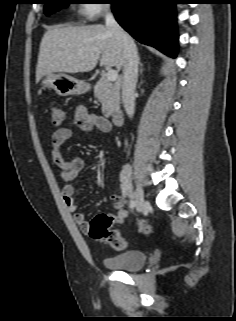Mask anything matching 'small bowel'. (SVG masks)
I'll list each match as a JSON object with an SVG mask.
<instances>
[{
    "label": "small bowel",
    "mask_w": 236,
    "mask_h": 321,
    "mask_svg": "<svg viewBox=\"0 0 236 321\" xmlns=\"http://www.w3.org/2000/svg\"><path fill=\"white\" fill-rule=\"evenodd\" d=\"M77 125L83 130L89 131L94 128L102 132L108 133L112 129L111 123L104 117L88 112L86 109L80 107L75 114ZM73 135L71 126H63L57 129L51 138L52 142V159L56 166L61 171V177L65 181L62 187V197L67 210L74 214L75 223L81 228L82 231L87 232L89 222L86 220L84 214L77 211L76 189L71 183L84 167L83 159L74 157L68 159L62 153V146ZM126 195L121 186V193H115L111 196L113 206L115 209L120 210L125 202Z\"/></svg>",
    "instance_id": "small-bowel-1"
}]
</instances>
